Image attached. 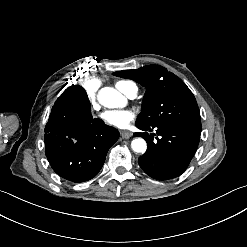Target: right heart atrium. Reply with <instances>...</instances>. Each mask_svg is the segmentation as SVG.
Masks as SVG:
<instances>
[{"instance_id": "obj_1", "label": "right heart atrium", "mask_w": 247, "mask_h": 247, "mask_svg": "<svg viewBox=\"0 0 247 247\" xmlns=\"http://www.w3.org/2000/svg\"><path fill=\"white\" fill-rule=\"evenodd\" d=\"M103 85V80L99 76L89 77L85 80L83 91L85 94L90 95L89 100L92 103L90 109L93 113L98 114L102 111L103 106L100 103L104 95L99 89Z\"/></svg>"}]
</instances>
